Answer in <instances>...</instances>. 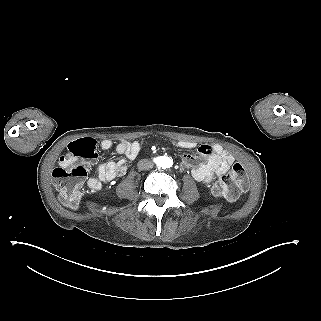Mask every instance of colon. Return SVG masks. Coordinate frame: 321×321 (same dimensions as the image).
Returning <instances> with one entry per match:
<instances>
[{
  "instance_id": "5ec220e1",
  "label": "colon",
  "mask_w": 321,
  "mask_h": 321,
  "mask_svg": "<svg viewBox=\"0 0 321 321\" xmlns=\"http://www.w3.org/2000/svg\"><path fill=\"white\" fill-rule=\"evenodd\" d=\"M97 157L96 142L91 138L70 143L67 151L60 157L58 166L52 172V177L65 206L77 209L83 196L82 188L87 172L79 161L94 160ZM247 186L248 177L244 167L240 163H235L225 176L214 182L212 190L217 195L236 201L242 197Z\"/></svg>"
}]
</instances>
